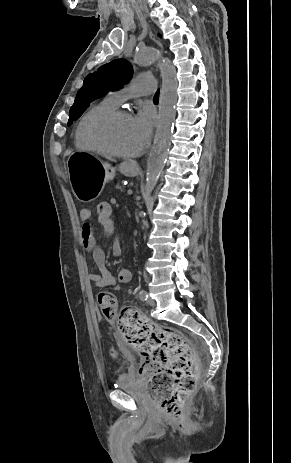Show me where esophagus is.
<instances>
[{
  "mask_svg": "<svg viewBox=\"0 0 291 463\" xmlns=\"http://www.w3.org/2000/svg\"><path fill=\"white\" fill-rule=\"evenodd\" d=\"M160 65H161V60L159 59V60L157 61V66L160 67Z\"/></svg>",
  "mask_w": 291,
  "mask_h": 463,
  "instance_id": "34e87169",
  "label": "esophagus"
}]
</instances>
